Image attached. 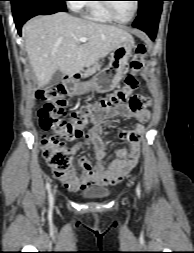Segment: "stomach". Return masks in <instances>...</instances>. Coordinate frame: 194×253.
<instances>
[{
	"mask_svg": "<svg viewBox=\"0 0 194 253\" xmlns=\"http://www.w3.org/2000/svg\"><path fill=\"white\" fill-rule=\"evenodd\" d=\"M134 42L124 41L117 46L109 57V64L100 70L90 81L81 83L71 78L67 87L71 94H84L91 89L104 93L113 90L122 78L125 66L132 55Z\"/></svg>",
	"mask_w": 194,
	"mask_h": 253,
	"instance_id": "0dacf381",
	"label": "stomach"
}]
</instances>
